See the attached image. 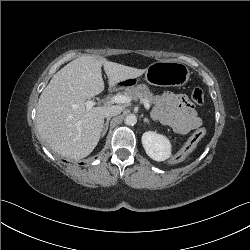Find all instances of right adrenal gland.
Listing matches in <instances>:
<instances>
[{
    "mask_svg": "<svg viewBox=\"0 0 250 250\" xmlns=\"http://www.w3.org/2000/svg\"><path fill=\"white\" fill-rule=\"evenodd\" d=\"M110 119H111V117H109V118L106 119V122L103 125L101 137H104V135L106 134V132L108 130V125H109Z\"/></svg>",
    "mask_w": 250,
    "mask_h": 250,
    "instance_id": "2a0ac1e0",
    "label": "right adrenal gland"
}]
</instances>
